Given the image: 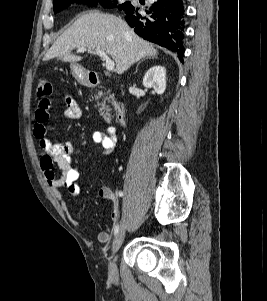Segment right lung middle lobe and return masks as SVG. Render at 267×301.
<instances>
[{
  "mask_svg": "<svg viewBox=\"0 0 267 301\" xmlns=\"http://www.w3.org/2000/svg\"><path fill=\"white\" fill-rule=\"evenodd\" d=\"M83 3L89 6H93L96 7L98 4V0H54L53 1V7H54V12H59L61 10H63L64 8L68 7L69 5H71L72 3ZM101 4L104 7H108V8H113V7H117V5L112 4L111 1L109 0H100ZM129 2H125L122 5H120L118 8L121 10L123 9Z\"/></svg>",
  "mask_w": 267,
  "mask_h": 301,
  "instance_id": "right-lung-middle-lobe-1",
  "label": "right lung middle lobe"
}]
</instances>
